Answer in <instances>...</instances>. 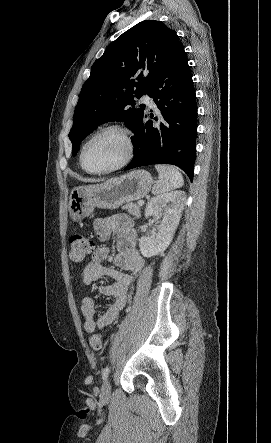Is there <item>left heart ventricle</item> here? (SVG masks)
<instances>
[{"instance_id": "b2bd125f", "label": "left heart ventricle", "mask_w": 271, "mask_h": 443, "mask_svg": "<svg viewBox=\"0 0 271 443\" xmlns=\"http://www.w3.org/2000/svg\"><path fill=\"white\" fill-rule=\"evenodd\" d=\"M126 153V143L118 131H107L95 137L86 147L84 161L92 170L114 166Z\"/></svg>"}]
</instances>
